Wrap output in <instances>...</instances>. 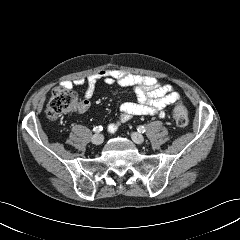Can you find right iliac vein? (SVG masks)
Masks as SVG:
<instances>
[{
  "label": "right iliac vein",
  "instance_id": "right-iliac-vein-1",
  "mask_svg": "<svg viewBox=\"0 0 240 240\" xmlns=\"http://www.w3.org/2000/svg\"><path fill=\"white\" fill-rule=\"evenodd\" d=\"M103 141H104V137H103L102 134H99V133L93 135L92 138H91V142L94 145H100V144L103 143Z\"/></svg>",
  "mask_w": 240,
  "mask_h": 240
}]
</instances>
